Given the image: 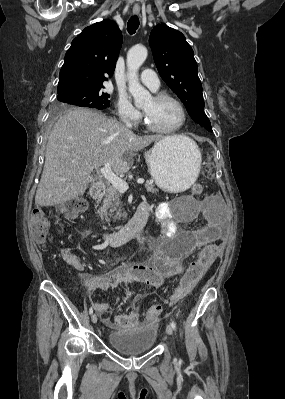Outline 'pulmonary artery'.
<instances>
[{
  "label": "pulmonary artery",
  "mask_w": 285,
  "mask_h": 399,
  "mask_svg": "<svg viewBox=\"0 0 285 399\" xmlns=\"http://www.w3.org/2000/svg\"><path fill=\"white\" fill-rule=\"evenodd\" d=\"M141 81L153 91L158 90V88L160 87V81L158 77L150 69H145L141 73Z\"/></svg>",
  "instance_id": "e3ab8cb5"
}]
</instances>
